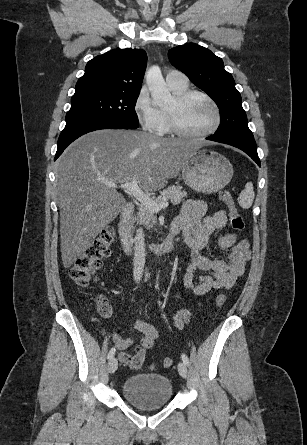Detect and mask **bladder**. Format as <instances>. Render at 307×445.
Wrapping results in <instances>:
<instances>
[{
	"instance_id": "1",
	"label": "bladder",
	"mask_w": 307,
	"mask_h": 445,
	"mask_svg": "<svg viewBox=\"0 0 307 445\" xmlns=\"http://www.w3.org/2000/svg\"><path fill=\"white\" fill-rule=\"evenodd\" d=\"M123 397L141 410L160 409L172 399L170 380L159 373H142L128 377L122 384Z\"/></svg>"
}]
</instances>
